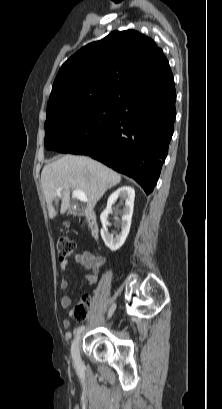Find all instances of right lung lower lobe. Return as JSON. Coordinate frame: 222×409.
Listing matches in <instances>:
<instances>
[{
  "label": "right lung lower lobe",
  "instance_id": "1",
  "mask_svg": "<svg viewBox=\"0 0 222 409\" xmlns=\"http://www.w3.org/2000/svg\"><path fill=\"white\" fill-rule=\"evenodd\" d=\"M165 92L118 105L103 145L86 155L135 179L150 194L168 153L176 117L172 73L163 76Z\"/></svg>",
  "mask_w": 222,
  "mask_h": 409
}]
</instances>
